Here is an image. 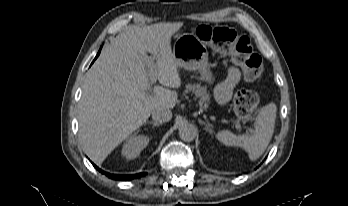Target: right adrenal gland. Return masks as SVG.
<instances>
[{
  "mask_svg": "<svg viewBox=\"0 0 348 206\" xmlns=\"http://www.w3.org/2000/svg\"><path fill=\"white\" fill-rule=\"evenodd\" d=\"M147 123L152 124V128L156 126H160L162 123L156 122V121H148Z\"/></svg>",
  "mask_w": 348,
  "mask_h": 206,
  "instance_id": "2a0ac1e0",
  "label": "right adrenal gland"
}]
</instances>
